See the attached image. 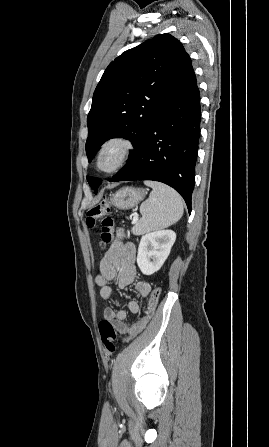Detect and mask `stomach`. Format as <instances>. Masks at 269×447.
Returning a JSON list of instances; mask_svg holds the SVG:
<instances>
[{
    "label": "stomach",
    "instance_id": "0dacf381",
    "mask_svg": "<svg viewBox=\"0 0 269 447\" xmlns=\"http://www.w3.org/2000/svg\"><path fill=\"white\" fill-rule=\"evenodd\" d=\"M145 194V190H139V188H121L112 196L111 204L119 210H130L143 200Z\"/></svg>",
    "mask_w": 269,
    "mask_h": 447
}]
</instances>
